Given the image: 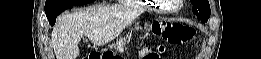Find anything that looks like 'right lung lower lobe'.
<instances>
[{"mask_svg":"<svg viewBox=\"0 0 261 59\" xmlns=\"http://www.w3.org/2000/svg\"><path fill=\"white\" fill-rule=\"evenodd\" d=\"M72 7H75V6L67 7V8H65V9H63L61 12H59V13L53 15V16L47 17L48 20H49L50 25H54V24H55L56 17H57L60 13H62L64 10H66V9H68V8H72Z\"/></svg>","mask_w":261,"mask_h":59,"instance_id":"obj_1","label":"right lung lower lobe"}]
</instances>
